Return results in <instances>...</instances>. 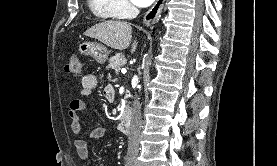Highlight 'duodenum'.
I'll use <instances>...</instances> for the list:
<instances>
[{
  "mask_svg": "<svg viewBox=\"0 0 277 166\" xmlns=\"http://www.w3.org/2000/svg\"><path fill=\"white\" fill-rule=\"evenodd\" d=\"M131 113L129 110H125L118 124V128L123 133H129L131 130Z\"/></svg>",
  "mask_w": 277,
  "mask_h": 166,
  "instance_id": "410a0bca",
  "label": "duodenum"
}]
</instances>
